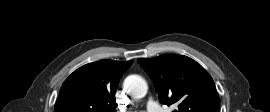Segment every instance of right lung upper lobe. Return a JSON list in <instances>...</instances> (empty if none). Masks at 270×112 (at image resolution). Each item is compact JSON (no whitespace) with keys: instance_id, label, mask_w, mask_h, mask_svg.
<instances>
[{"instance_id":"cb5924a9","label":"right lung upper lobe","mask_w":270,"mask_h":112,"mask_svg":"<svg viewBox=\"0 0 270 112\" xmlns=\"http://www.w3.org/2000/svg\"><path fill=\"white\" fill-rule=\"evenodd\" d=\"M132 61L86 64L63 83L54 112H116L115 91Z\"/></svg>"}]
</instances>
